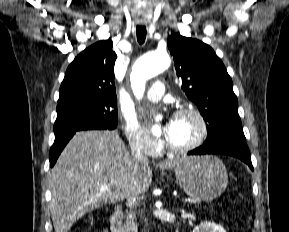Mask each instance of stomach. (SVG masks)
<instances>
[{
  "label": "stomach",
  "instance_id": "obj_1",
  "mask_svg": "<svg viewBox=\"0 0 289 232\" xmlns=\"http://www.w3.org/2000/svg\"><path fill=\"white\" fill-rule=\"evenodd\" d=\"M176 181L184 192L195 199L212 201L228 185L225 165L217 157L192 156L180 160L174 169Z\"/></svg>",
  "mask_w": 289,
  "mask_h": 232
}]
</instances>
